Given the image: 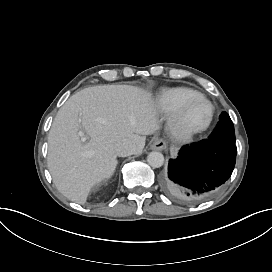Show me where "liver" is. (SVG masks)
<instances>
[{
	"instance_id": "6515ba94",
	"label": "liver",
	"mask_w": 272,
	"mask_h": 272,
	"mask_svg": "<svg viewBox=\"0 0 272 272\" xmlns=\"http://www.w3.org/2000/svg\"><path fill=\"white\" fill-rule=\"evenodd\" d=\"M85 130L88 142L78 134ZM157 128L147 94L130 86L101 85L72 95L58 111L49 132L48 168L58 191L84 204L90 191L117 169L115 144L131 139L142 152Z\"/></svg>"
}]
</instances>
